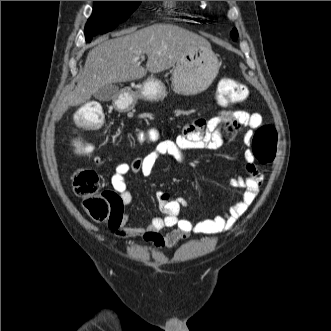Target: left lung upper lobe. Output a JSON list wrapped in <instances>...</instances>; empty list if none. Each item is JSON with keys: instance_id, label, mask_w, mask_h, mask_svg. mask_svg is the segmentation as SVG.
<instances>
[{"instance_id": "left-lung-upper-lobe-1", "label": "left lung upper lobe", "mask_w": 331, "mask_h": 331, "mask_svg": "<svg viewBox=\"0 0 331 331\" xmlns=\"http://www.w3.org/2000/svg\"><path fill=\"white\" fill-rule=\"evenodd\" d=\"M231 37L233 38V40H236L238 37V32L236 30V28H234L231 32Z\"/></svg>"}]
</instances>
